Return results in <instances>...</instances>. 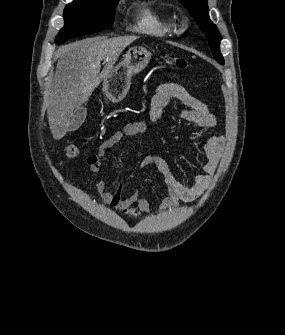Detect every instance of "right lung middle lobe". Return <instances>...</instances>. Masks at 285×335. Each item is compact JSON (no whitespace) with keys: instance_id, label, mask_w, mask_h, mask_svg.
Instances as JSON below:
<instances>
[{"instance_id":"obj_1","label":"right lung middle lobe","mask_w":285,"mask_h":335,"mask_svg":"<svg viewBox=\"0 0 285 335\" xmlns=\"http://www.w3.org/2000/svg\"><path fill=\"white\" fill-rule=\"evenodd\" d=\"M117 3L99 0H75L64 10L65 27L58 33L56 42L105 30L112 25Z\"/></svg>"}]
</instances>
